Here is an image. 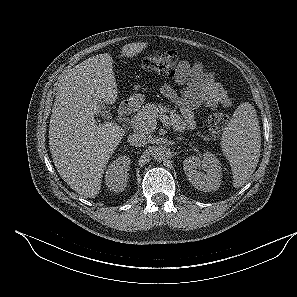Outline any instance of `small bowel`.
I'll return each instance as SVG.
<instances>
[{"mask_svg": "<svg viewBox=\"0 0 297 297\" xmlns=\"http://www.w3.org/2000/svg\"><path fill=\"white\" fill-rule=\"evenodd\" d=\"M174 83L180 87L179 90L164 84L160 92L167 100L178 106L188 128L195 125V112L200 107L232 106L227 91L215 80L212 73L205 71L203 64L198 60L181 61L174 75Z\"/></svg>", "mask_w": 297, "mask_h": 297, "instance_id": "small-bowel-1", "label": "small bowel"}]
</instances>
